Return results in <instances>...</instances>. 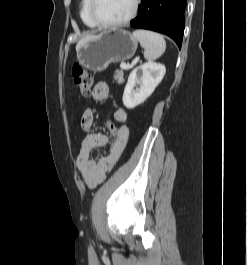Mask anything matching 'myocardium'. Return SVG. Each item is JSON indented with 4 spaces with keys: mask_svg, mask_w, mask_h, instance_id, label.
Masks as SVG:
<instances>
[{
    "mask_svg": "<svg viewBox=\"0 0 247 265\" xmlns=\"http://www.w3.org/2000/svg\"><path fill=\"white\" fill-rule=\"evenodd\" d=\"M96 2L97 0H90L89 15L96 26L100 28H104V29L118 28V27H121V26H124L130 23L137 16L139 8H140V4H141V0H134L133 8L127 17H125L122 20L116 21V22L105 23L101 21L96 15V11H95Z\"/></svg>",
    "mask_w": 247,
    "mask_h": 265,
    "instance_id": "f54148a6",
    "label": "myocardium"
}]
</instances>
